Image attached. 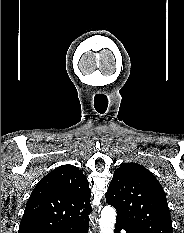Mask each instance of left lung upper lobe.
Segmentation results:
<instances>
[{"label": "left lung upper lobe", "mask_w": 184, "mask_h": 233, "mask_svg": "<svg viewBox=\"0 0 184 233\" xmlns=\"http://www.w3.org/2000/svg\"><path fill=\"white\" fill-rule=\"evenodd\" d=\"M106 202L135 233H173L165 192L156 177L137 163H122L114 172Z\"/></svg>", "instance_id": "obj_1"}]
</instances>
